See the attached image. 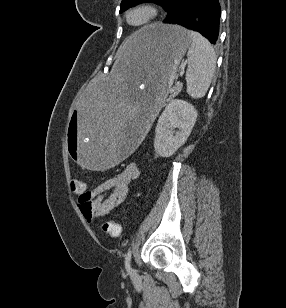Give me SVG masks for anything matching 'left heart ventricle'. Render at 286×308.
I'll list each match as a JSON object with an SVG mask.
<instances>
[{
    "mask_svg": "<svg viewBox=\"0 0 286 308\" xmlns=\"http://www.w3.org/2000/svg\"><path fill=\"white\" fill-rule=\"evenodd\" d=\"M148 13L144 10H138L133 12L130 15V22L133 24H139L142 23L143 21H145V19L147 18Z\"/></svg>",
    "mask_w": 286,
    "mask_h": 308,
    "instance_id": "1",
    "label": "left heart ventricle"
}]
</instances>
